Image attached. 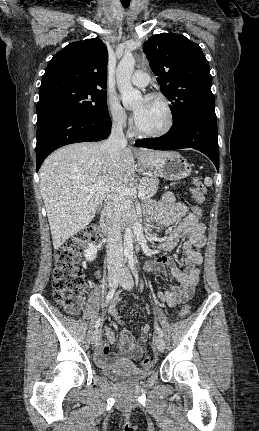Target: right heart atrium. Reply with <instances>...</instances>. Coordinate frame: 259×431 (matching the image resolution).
<instances>
[{
    "mask_svg": "<svg viewBox=\"0 0 259 431\" xmlns=\"http://www.w3.org/2000/svg\"><path fill=\"white\" fill-rule=\"evenodd\" d=\"M107 110L111 124L119 129L126 128L130 123V118L120 102L113 96L107 101Z\"/></svg>",
    "mask_w": 259,
    "mask_h": 431,
    "instance_id": "right-heart-atrium-1",
    "label": "right heart atrium"
}]
</instances>
